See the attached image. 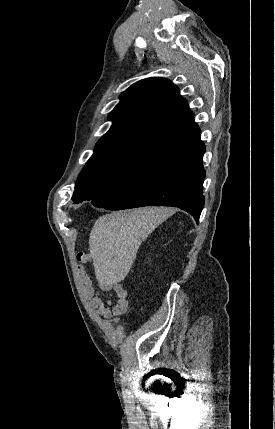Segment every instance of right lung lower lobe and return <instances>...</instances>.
<instances>
[{
    "label": "right lung lower lobe",
    "mask_w": 275,
    "mask_h": 429,
    "mask_svg": "<svg viewBox=\"0 0 275 429\" xmlns=\"http://www.w3.org/2000/svg\"><path fill=\"white\" fill-rule=\"evenodd\" d=\"M204 152L200 132L189 136L147 159L121 184L91 203L109 210L174 206L198 222L204 206Z\"/></svg>",
    "instance_id": "right-lung-lower-lobe-1"
}]
</instances>
